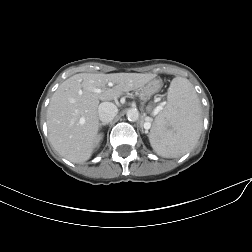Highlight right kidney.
<instances>
[{
	"instance_id": "obj_1",
	"label": "right kidney",
	"mask_w": 252,
	"mask_h": 252,
	"mask_svg": "<svg viewBox=\"0 0 252 252\" xmlns=\"http://www.w3.org/2000/svg\"><path fill=\"white\" fill-rule=\"evenodd\" d=\"M100 139H102V136H99L98 141H99Z\"/></svg>"
}]
</instances>
